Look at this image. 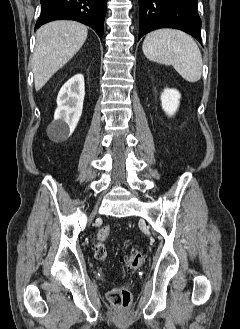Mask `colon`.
I'll use <instances>...</instances> for the list:
<instances>
[{
	"mask_svg": "<svg viewBox=\"0 0 240 329\" xmlns=\"http://www.w3.org/2000/svg\"><path fill=\"white\" fill-rule=\"evenodd\" d=\"M109 234V226L102 227L97 233V238L99 242L95 248V256L100 260L106 257V249L104 246V242L108 238ZM144 259L145 257L142 252L134 251L130 254L125 255L121 261L127 271H134L142 265ZM108 300L112 305L118 308L128 309L132 302V294L130 289L126 286L116 287L108 292Z\"/></svg>",
	"mask_w": 240,
	"mask_h": 329,
	"instance_id": "5ec220e1",
	"label": "colon"
}]
</instances>
